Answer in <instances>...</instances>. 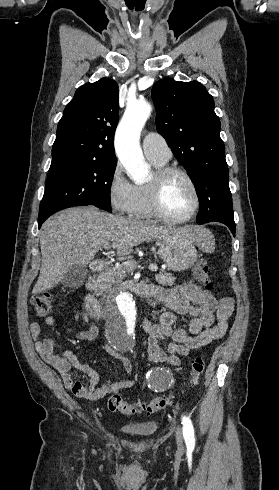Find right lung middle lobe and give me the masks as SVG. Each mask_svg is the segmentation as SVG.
<instances>
[{
    "label": "right lung middle lobe",
    "instance_id": "dd1d6c3e",
    "mask_svg": "<svg viewBox=\"0 0 279 490\" xmlns=\"http://www.w3.org/2000/svg\"><path fill=\"white\" fill-rule=\"evenodd\" d=\"M117 159H75L51 164L38 219L77 204L111 212L110 188Z\"/></svg>",
    "mask_w": 279,
    "mask_h": 490
}]
</instances>
